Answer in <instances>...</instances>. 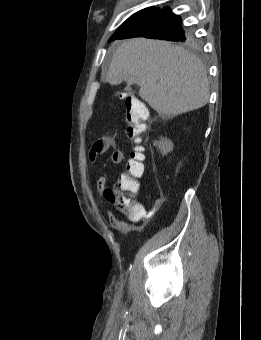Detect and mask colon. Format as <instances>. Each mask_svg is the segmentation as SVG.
I'll return each instance as SVG.
<instances>
[{
	"mask_svg": "<svg viewBox=\"0 0 261 340\" xmlns=\"http://www.w3.org/2000/svg\"><path fill=\"white\" fill-rule=\"evenodd\" d=\"M148 116L146 106L134 97L125 101L126 133L134 143H140L146 130L145 121ZM143 148L137 146L131 152L126 163L125 172L121 174L112 188L105 191L106 199L127 215L138 216L143 213V206L134 200L139 188V180L144 174Z\"/></svg>",
	"mask_w": 261,
	"mask_h": 340,
	"instance_id": "obj_1",
	"label": "colon"
}]
</instances>
